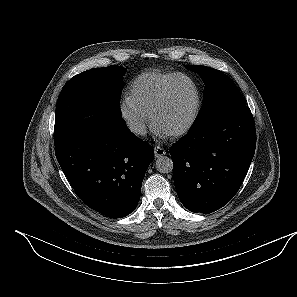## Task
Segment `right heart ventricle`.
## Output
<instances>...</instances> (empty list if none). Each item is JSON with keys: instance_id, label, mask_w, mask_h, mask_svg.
<instances>
[{"instance_id": "right-heart-ventricle-1", "label": "right heart ventricle", "mask_w": 297, "mask_h": 297, "mask_svg": "<svg viewBox=\"0 0 297 297\" xmlns=\"http://www.w3.org/2000/svg\"><path fill=\"white\" fill-rule=\"evenodd\" d=\"M179 73L147 71L137 76L129 88V98L147 115L164 87Z\"/></svg>"}]
</instances>
